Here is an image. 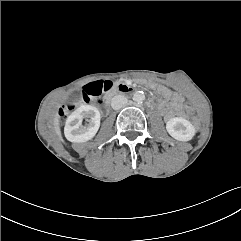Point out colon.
<instances>
[{
	"label": "colon",
	"instance_id": "5ec220e1",
	"mask_svg": "<svg viewBox=\"0 0 241 241\" xmlns=\"http://www.w3.org/2000/svg\"><path fill=\"white\" fill-rule=\"evenodd\" d=\"M111 86V82L109 81H94L87 84L82 91L81 94V101L83 103H89L90 101L94 100L97 104L101 103V95L109 89ZM76 107L75 102H70L63 106L60 111L59 115L64 117L68 115L71 111H73ZM183 112L188 115L192 116L195 113V107L192 104H187L184 107Z\"/></svg>",
	"mask_w": 241,
	"mask_h": 241
}]
</instances>
